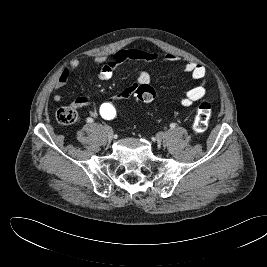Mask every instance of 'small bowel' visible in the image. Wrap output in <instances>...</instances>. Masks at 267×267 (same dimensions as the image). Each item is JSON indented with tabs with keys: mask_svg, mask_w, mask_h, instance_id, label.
<instances>
[{
	"mask_svg": "<svg viewBox=\"0 0 267 267\" xmlns=\"http://www.w3.org/2000/svg\"><path fill=\"white\" fill-rule=\"evenodd\" d=\"M157 58V54L154 52L141 50V49H122L114 53L107 61H103L102 58H97L98 63H102V66L97 74V77L101 80L110 79L115 71V68L128 61V60H144L152 61ZM165 62H173L177 60V57L173 54H167L164 59ZM78 67V61H73L68 67H66L60 74L58 80L54 86L53 99L56 102L62 100L61 89L66 85L70 76ZM184 71L191 75L194 80L200 81V83L190 89L182 99V105L185 107L191 106L194 102L203 98L206 94L205 86V68L197 63L189 62L185 65ZM151 81V75L148 71L142 70L136 77V83L129 87H126L115 95L118 99L125 100L131 97L135 93V89L140 84H149ZM73 106L75 108L90 107L91 115L97 114L96 103L85 96L78 97L74 100Z\"/></svg>",
	"mask_w": 267,
	"mask_h": 267,
	"instance_id": "obj_1",
	"label": "small bowel"
}]
</instances>
